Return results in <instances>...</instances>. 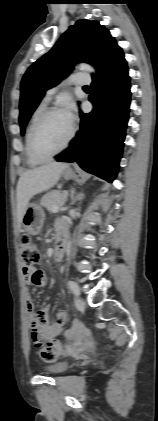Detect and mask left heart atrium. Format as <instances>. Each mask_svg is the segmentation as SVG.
Instances as JSON below:
<instances>
[{
  "mask_svg": "<svg viewBox=\"0 0 158 421\" xmlns=\"http://www.w3.org/2000/svg\"><path fill=\"white\" fill-rule=\"evenodd\" d=\"M65 116V118L67 119V121L69 122V124L72 126L73 122L75 120V108L74 105L72 103H68L66 105V107L64 108L63 112H62Z\"/></svg>",
  "mask_w": 158,
  "mask_h": 421,
  "instance_id": "left-heart-atrium-1",
  "label": "left heart atrium"
}]
</instances>
